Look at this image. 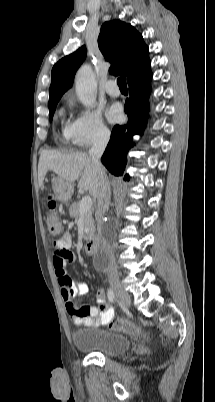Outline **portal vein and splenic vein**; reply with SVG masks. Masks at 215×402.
<instances>
[{"instance_id":"18ae733b","label":"portal vein and splenic vein","mask_w":215,"mask_h":402,"mask_svg":"<svg viewBox=\"0 0 215 402\" xmlns=\"http://www.w3.org/2000/svg\"><path fill=\"white\" fill-rule=\"evenodd\" d=\"M92 207V199L90 196H84L79 204V212L80 214H84L88 212Z\"/></svg>"}]
</instances>
